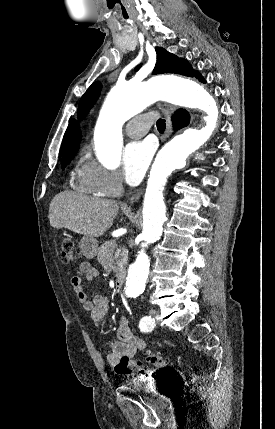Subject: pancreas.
<instances>
[{
    "label": "pancreas",
    "instance_id": "pancreas-1",
    "mask_svg": "<svg viewBox=\"0 0 275 429\" xmlns=\"http://www.w3.org/2000/svg\"><path fill=\"white\" fill-rule=\"evenodd\" d=\"M116 248V244L114 241H106L104 244H102L98 248L97 252V260L99 263H101L104 267H106L108 270H114L118 271L120 268L123 267V265L126 263V257L125 254H121V259L118 260L117 266L113 265V255L114 250Z\"/></svg>",
    "mask_w": 275,
    "mask_h": 429
}]
</instances>
